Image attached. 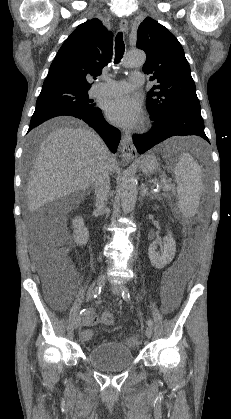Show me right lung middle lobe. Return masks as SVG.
Returning <instances> with one entry per match:
<instances>
[{"label":"right lung middle lobe","instance_id":"obj_1","mask_svg":"<svg viewBox=\"0 0 231 419\" xmlns=\"http://www.w3.org/2000/svg\"><path fill=\"white\" fill-rule=\"evenodd\" d=\"M88 98V89L66 85L42 87L36 102L37 107L65 108L75 111L90 112L96 107Z\"/></svg>","mask_w":231,"mask_h":419}]
</instances>
